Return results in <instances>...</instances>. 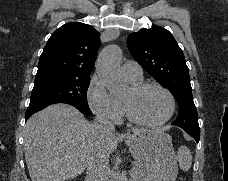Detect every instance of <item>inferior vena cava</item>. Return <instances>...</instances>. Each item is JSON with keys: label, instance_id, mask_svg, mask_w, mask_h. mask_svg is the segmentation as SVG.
Here are the masks:
<instances>
[{"label": "inferior vena cava", "instance_id": "602c4592", "mask_svg": "<svg viewBox=\"0 0 228 181\" xmlns=\"http://www.w3.org/2000/svg\"><path fill=\"white\" fill-rule=\"evenodd\" d=\"M91 135H99L100 139H105L106 135L114 133V125L108 121L106 115L96 113V117L90 125ZM85 181H109L108 155L102 153L100 149L91 151L87 161V171Z\"/></svg>", "mask_w": 228, "mask_h": 181}]
</instances>
